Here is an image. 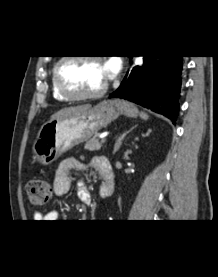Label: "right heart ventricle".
Wrapping results in <instances>:
<instances>
[{"mask_svg": "<svg viewBox=\"0 0 218 277\" xmlns=\"http://www.w3.org/2000/svg\"><path fill=\"white\" fill-rule=\"evenodd\" d=\"M51 82H52V94H53V97L58 100V101H68V99H66L65 97H63L57 90L56 88V85H55V82H54V78H53V74H52V79H51Z\"/></svg>", "mask_w": 218, "mask_h": 277, "instance_id": "1", "label": "right heart ventricle"}]
</instances>
